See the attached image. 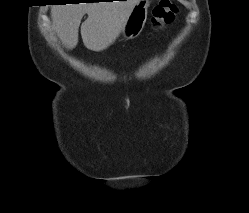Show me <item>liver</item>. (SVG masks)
<instances>
[{
  "label": "liver",
  "instance_id": "6515ba94",
  "mask_svg": "<svg viewBox=\"0 0 249 213\" xmlns=\"http://www.w3.org/2000/svg\"><path fill=\"white\" fill-rule=\"evenodd\" d=\"M139 0L61 4L51 7L53 29L62 44L73 49L78 43V30L85 13L88 18L81 25L85 47L100 52L112 45L121 33L133 6Z\"/></svg>",
  "mask_w": 249,
  "mask_h": 213
}]
</instances>
